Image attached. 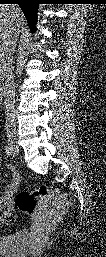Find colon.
I'll return each instance as SVG.
<instances>
[{
    "label": "colon",
    "mask_w": 106,
    "mask_h": 257,
    "mask_svg": "<svg viewBox=\"0 0 106 257\" xmlns=\"http://www.w3.org/2000/svg\"><path fill=\"white\" fill-rule=\"evenodd\" d=\"M52 200L68 204L65 195L59 190L41 186L31 191H20L16 196V205L20 212L27 216H32L40 207H47Z\"/></svg>",
    "instance_id": "1"
}]
</instances>
